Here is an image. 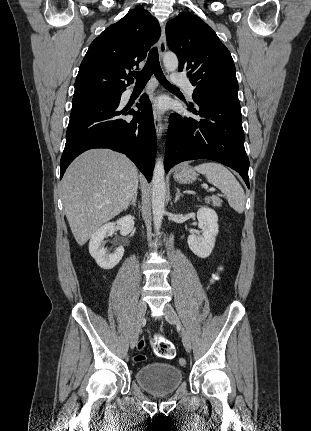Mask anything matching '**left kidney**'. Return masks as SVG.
<instances>
[{
    "label": "left kidney",
    "instance_id": "1",
    "mask_svg": "<svg viewBox=\"0 0 311 431\" xmlns=\"http://www.w3.org/2000/svg\"><path fill=\"white\" fill-rule=\"evenodd\" d=\"M197 219L199 221L198 227L202 231V235H188V245L198 257H209L215 245L216 235L219 231L217 223L218 216L211 208H199L197 212Z\"/></svg>",
    "mask_w": 311,
    "mask_h": 431
}]
</instances>
